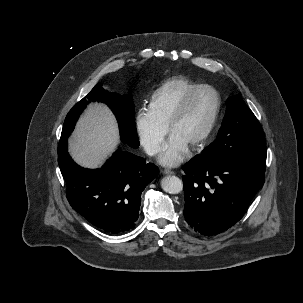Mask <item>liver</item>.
Here are the masks:
<instances>
[{
	"instance_id": "6515ba94",
	"label": "liver",
	"mask_w": 303,
	"mask_h": 303,
	"mask_svg": "<svg viewBox=\"0 0 303 303\" xmlns=\"http://www.w3.org/2000/svg\"><path fill=\"white\" fill-rule=\"evenodd\" d=\"M119 143L118 126L110 109L103 104L88 106L70 140L73 159L84 167H98Z\"/></svg>"
}]
</instances>
